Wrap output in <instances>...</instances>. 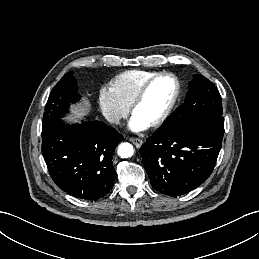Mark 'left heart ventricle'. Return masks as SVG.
Returning a JSON list of instances; mask_svg holds the SVG:
<instances>
[{
	"mask_svg": "<svg viewBox=\"0 0 259 259\" xmlns=\"http://www.w3.org/2000/svg\"><path fill=\"white\" fill-rule=\"evenodd\" d=\"M174 89L172 79H157L136 107L134 115L150 125L164 113L174 95Z\"/></svg>",
	"mask_w": 259,
	"mask_h": 259,
	"instance_id": "obj_1",
	"label": "left heart ventricle"
}]
</instances>
